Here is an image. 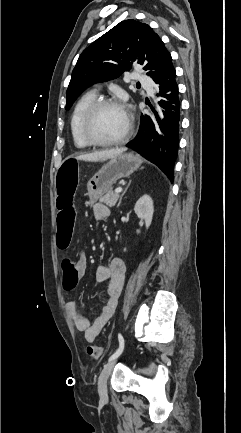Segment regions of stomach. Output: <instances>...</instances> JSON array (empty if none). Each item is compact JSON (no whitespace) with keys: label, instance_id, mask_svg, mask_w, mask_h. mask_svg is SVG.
<instances>
[{"label":"stomach","instance_id":"stomach-1","mask_svg":"<svg viewBox=\"0 0 241 433\" xmlns=\"http://www.w3.org/2000/svg\"><path fill=\"white\" fill-rule=\"evenodd\" d=\"M141 162L140 157L133 153H121L112 158L89 180L87 195L90 201L96 202L119 179L129 177L140 167Z\"/></svg>","mask_w":241,"mask_h":433}]
</instances>
